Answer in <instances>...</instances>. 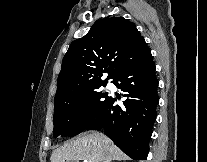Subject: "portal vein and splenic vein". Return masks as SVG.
<instances>
[{
  "label": "portal vein and splenic vein",
  "mask_w": 207,
  "mask_h": 162,
  "mask_svg": "<svg viewBox=\"0 0 207 162\" xmlns=\"http://www.w3.org/2000/svg\"><path fill=\"white\" fill-rule=\"evenodd\" d=\"M84 162H90V161L84 160Z\"/></svg>",
  "instance_id": "portal-vein-and-splenic-vein-1"
}]
</instances>
